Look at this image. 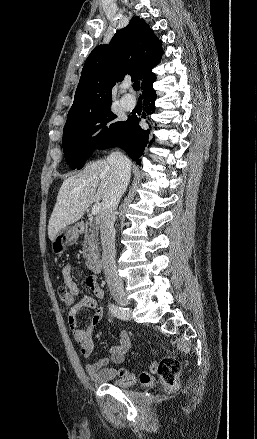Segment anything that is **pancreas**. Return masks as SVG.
<instances>
[{
    "instance_id": "obj_1",
    "label": "pancreas",
    "mask_w": 257,
    "mask_h": 439,
    "mask_svg": "<svg viewBox=\"0 0 257 439\" xmlns=\"http://www.w3.org/2000/svg\"><path fill=\"white\" fill-rule=\"evenodd\" d=\"M97 229V223H94L92 220L86 223L85 238L83 242V255L86 258V266L88 268L91 267L93 261L98 257L99 243Z\"/></svg>"
}]
</instances>
